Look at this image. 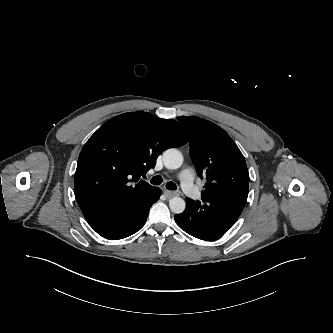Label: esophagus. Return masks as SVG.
Wrapping results in <instances>:
<instances>
[{"label": "esophagus", "instance_id": "esophagus-1", "mask_svg": "<svg viewBox=\"0 0 333 333\" xmlns=\"http://www.w3.org/2000/svg\"><path fill=\"white\" fill-rule=\"evenodd\" d=\"M164 194H165V196H166L168 199H170V198H172V197H174V196L177 195L175 192L170 191V190H165V191H164Z\"/></svg>", "mask_w": 333, "mask_h": 333}]
</instances>
